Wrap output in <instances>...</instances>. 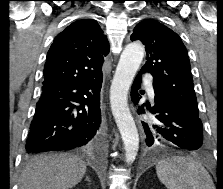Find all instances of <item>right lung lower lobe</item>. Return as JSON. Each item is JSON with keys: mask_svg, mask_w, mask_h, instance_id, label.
Wrapping results in <instances>:
<instances>
[{"mask_svg": "<svg viewBox=\"0 0 223 189\" xmlns=\"http://www.w3.org/2000/svg\"><path fill=\"white\" fill-rule=\"evenodd\" d=\"M103 75L42 86L26 153L94 146L101 136L100 89Z\"/></svg>", "mask_w": 223, "mask_h": 189, "instance_id": "right-lung-lower-lobe-1", "label": "right lung lower lobe"}]
</instances>
